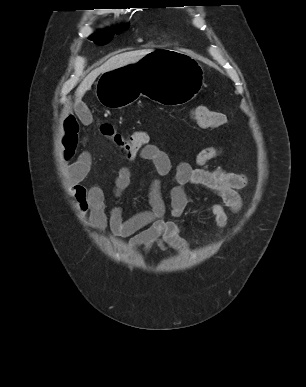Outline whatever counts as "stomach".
Returning a JSON list of instances; mask_svg holds the SVG:
<instances>
[{
  "label": "stomach",
  "mask_w": 306,
  "mask_h": 387,
  "mask_svg": "<svg viewBox=\"0 0 306 387\" xmlns=\"http://www.w3.org/2000/svg\"><path fill=\"white\" fill-rule=\"evenodd\" d=\"M202 84L203 68L195 59L167 46H153L136 64L105 70L96 94L108 108H124L140 95L165 108H180L191 103Z\"/></svg>",
  "instance_id": "0dacf381"
}]
</instances>
